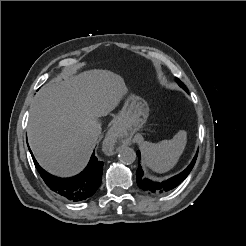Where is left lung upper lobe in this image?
Masks as SVG:
<instances>
[{"instance_id": "1", "label": "left lung upper lobe", "mask_w": 246, "mask_h": 246, "mask_svg": "<svg viewBox=\"0 0 246 246\" xmlns=\"http://www.w3.org/2000/svg\"><path fill=\"white\" fill-rule=\"evenodd\" d=\"M177 83L184 89L187 91V88L184 86V84L179 80V79H176Z\"/></svg>"}]
</instances>
